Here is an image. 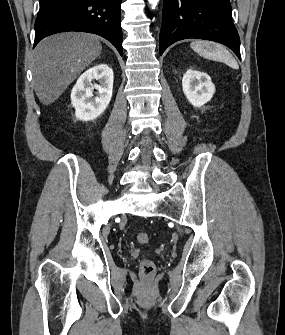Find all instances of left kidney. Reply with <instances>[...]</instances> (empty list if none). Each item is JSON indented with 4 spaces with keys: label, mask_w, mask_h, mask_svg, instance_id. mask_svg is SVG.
Instances as JSON below:
<instances>
[{
    "label": "left kidney",
    "mask_w": 285,
    "mask_h": 335,
    "mask_svg": "<svg viewBox=\"0 0 285 335\" xmlns=\"http://www.w3.org/2000/svg\"><path fill=\"white\" fill-rule=\"evenodd\" d=\"M182 88L188 102L195 108H201L210 102L215 94V86L210 76L197 70H187L183 76Z\"/></svg>",
    "instance_id": "1"
}]
</instances>
